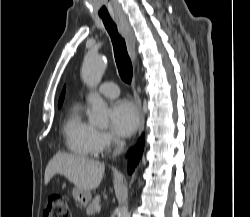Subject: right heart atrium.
<instances>
[{
  "label": "right heart atrium",
  "instance_id": "right-heart-atrium-1",
  "mask_svg": "<svg viewBox=\"0 0 250 217\" xmlns=\"http://www.w3.org/2000/svg\"><path fill=\"white\" fill-rule=\"evenodd\" d=\"M120 144L117 137L107 131H97L95 137L96 152L101 154L110 151L113 147Z\"/></svg>",
  "mask_w": 250,
  "mask_h": 217
}]
</instances>
